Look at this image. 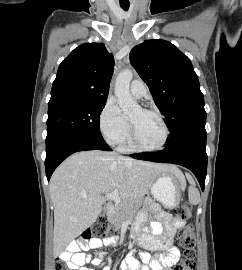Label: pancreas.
Listing matches in <instances>:
<instances>
[{"label": "pancreas", "mask_w": 242, "mask_h": 270, "mask_svg": "<svg viewBox=\"0 0 242 270\" xmlns=\"http://www.w3.org/2000/svg\"><path fill=\"white\" fill-rule=\"evenodd\" d=\"M139 207H140L139 202H131V201L116 205L113 213L108 216V221L114 227L119 228L121 227L124 221L133 219Z\"/></svg>", "instance_id": "pancreas-1"}]
</instances>
